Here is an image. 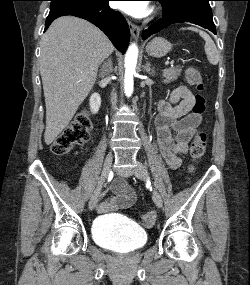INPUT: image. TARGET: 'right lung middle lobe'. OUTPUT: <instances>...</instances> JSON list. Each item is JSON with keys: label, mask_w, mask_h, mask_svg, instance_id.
<instances>
[{"label": "right lung middle lobe", "mask_w": 250, "mask_h": 285, "mask_svg": "<svg viewBox=\"0 0 250 285\" xmlns=\"http://www.w3.org/2000/svg\"><path fill=\"white\" fill-rule=\"evenodd\" d=\"M50 12L76 5H89L98 0H50Z\"/></svg>", "instance_id": "1"}]
</instances>
